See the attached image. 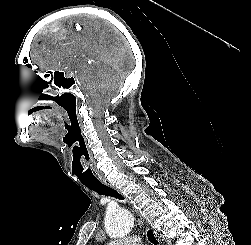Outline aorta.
<instances>
[{"mask_svg": "<svg viewBox=\"0 0 251 245\" xmlns=\"http://www.w3.org/2000/svg\"><path fill=\"white\" fill-rule=\"evenodd\" d=\"M133 228L134 219L129 211L117 209L106 214L105 229L111 238H122L128 235Z\"/></svg>", "mask_w": 251, "mask_h": 245, "instance_id": "aorta-1", "label": "aorta"}]
</instances>
